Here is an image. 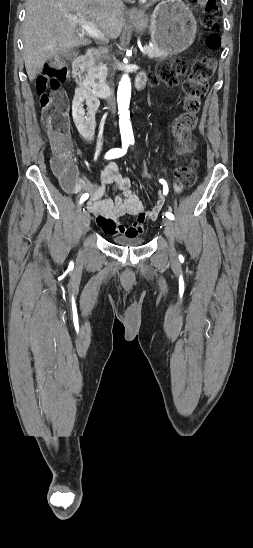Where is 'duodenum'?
<instances>
[{
	"instance_id": "1",
	"label": "duodenum",
	"mask_w": 253,
	"mask_h": 548,
	"mask_svg": "<svg viewBox=\"0 0 253 548\" xmlns=\"http://www.w3.org/2000/svg\"><path fill=\"white\" fill-rule=\"evenodd\" d=\"M99 55L98 50L90 49L85 54L78 56L72 65V78L79 84L80 88L87 90L89 93L96 97L108 98L113 94L111 88L92 82L87 77V71L90 64ZM144 84V78L138 77L136 80V87L141 88Z\"/></svg>"
}]
</instances>
